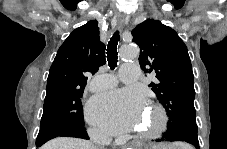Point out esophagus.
Returning <instances> with one entry per match:
<instances>
[{
  "label": "esophagus",
  "mask_w": 227,
  "mask_h": 149,
  "mask_svg": "<svg viewBox=\"0 0 227 149\" xmlns=\"http://www.w3.org/2000/svg\"><path fill=\"white\" fill-rule=\"evenodd\" d=\"M124 24H125V18H122V17L118 18L117 28L120 29V30L123 29Z\"/></svg>",
  "instance_id": "obj_1"
}]
</instances>
